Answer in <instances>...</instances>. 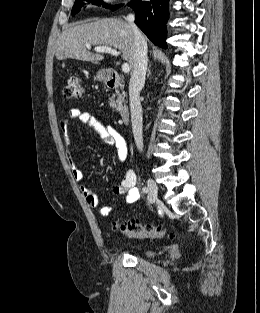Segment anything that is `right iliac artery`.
Listing matches in <instances>:
<instances>
[{
	"label": "right iliac artery",
	"mask_w": 260,
	"mask_h": 313,
	"mask_svg": "<svg viewBox=\"0 0 260 313\" xmlns=\"http://www.w3.org/2000/svg\"><path fill=\"white\" fill-rule=\"evenodd\" d=\"M142 191L144 192V193H146L147 191H148V189L146 188V187H143L142 188ZM138 192V191H137Z\"/></svg>",
	"instance_id": "82829eb1"
}]
</instances>
